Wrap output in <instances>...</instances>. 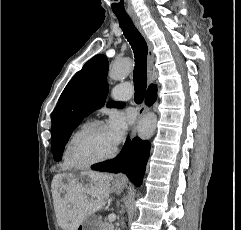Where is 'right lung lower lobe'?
<instances>
[{
	"instance_id": "1",
	"label": "right lung lower lobe",
	"mask_w": 241,
	"mask_h": 230,
	"mask_svg": "<svg viewBox=\"0 0 241 230\" xmlns=\"http://www.w3.org/2000/svg\"><path fill=\"white\" fill-rule=\"evenodd\" d=\"M157 98V87L151 84L146 93V104L152 105Z\"/></svg>"
}]
</instances>
